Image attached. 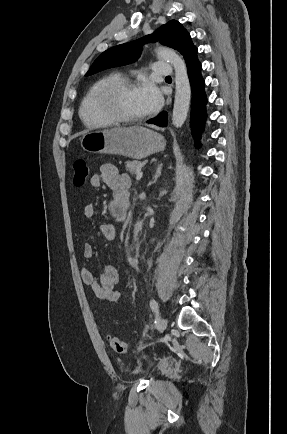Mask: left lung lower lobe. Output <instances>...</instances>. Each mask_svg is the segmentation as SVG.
Returning a JSON list of instances; mask_svg holds the SVG:
<instances>
[{
  "instance_id": "1",
  "label": "left lung lower lobe",
  "mask_w": 287,
  "mask_h": 434,
  "mask_svg": "<svg viewBox=\"0 0 287 434\" xmlns=\"http://www.w3.org/2000/svg\"><path fill=\"white\" fill-rule=\"evenodd\" d=\"M189 80L192 86V105H191V129L195 139V145L200 147V135L204 129L206 114L207 96L204 90V80L201 75V63L197 54L186 60ZM167 112H161L158 116L147 121L161 127L167 126Z\"/></svg>"
}]
</instances>
